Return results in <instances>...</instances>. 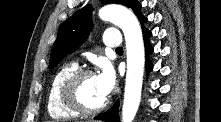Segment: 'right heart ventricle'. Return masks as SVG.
<instances>
[{"label":"right heart ventricle","instance_id":"e07e8e85","mask_svg":"<svg viewBox=\"0 0 221 122\" xmlns=\"http://www.w3.org/2000/svg\"><path fill=\"white\" fill-rule=\"evenodd\" d=\"M77 69V64L63 65L54 75L47 94V111L53 119L63 120L75 118L79 114L67 108L61 101L60 87L65 78Z\"/></svg>","mask_w":221,"mask_h":122}]
</instances>
